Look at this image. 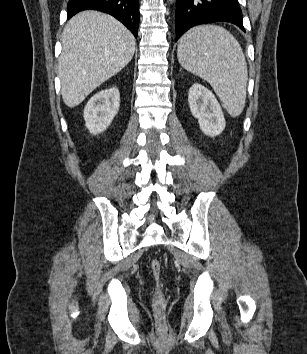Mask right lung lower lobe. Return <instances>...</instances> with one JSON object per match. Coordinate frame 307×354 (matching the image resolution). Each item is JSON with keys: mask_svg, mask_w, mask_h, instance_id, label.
Returning <instances> with one entry per match:
<instances>
[{"mask_svg": "<svg viewBox=\"0 0 307 354\" xmlns=\"http://www.w3.org/2000/svg\"><path fill=\"white\" fill-rule=\"evenodd\" d=\"M87 9L106 12L122 22L135 37L139 24V0H69L67 16Z\"/></svg>", "mask_w": 307, "mask_h": 354, "instance_id": "98d812e1", "label": "right lung lower lobe"}]
</instances>
